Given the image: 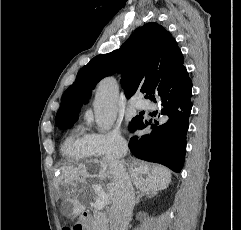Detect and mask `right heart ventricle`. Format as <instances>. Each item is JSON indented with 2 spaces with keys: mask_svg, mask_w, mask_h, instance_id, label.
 <instances>
[{
  "mask_svg": "<svg viewBox=\"0 0 241 230\" xmlns=\"http://www.w3.org/2000/svg\"><path fill=\"white\" fill-rule=\"evenodd\" d=\"M62 151L68 161L78 162L97 156L91 149L88 134L81 129L74 130L65 140Z\"/></svg>",
  "mask_w": 241,
  "mask_h": 230,
  "instance_id": "right-heart-ventricle-1",
  "label": "right heart ventricle"
}]
</instances>
